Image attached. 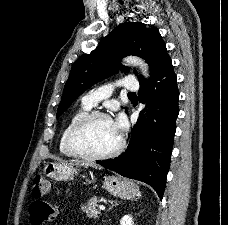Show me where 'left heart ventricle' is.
<instances>
[{
	"instance_id": "1",
	"label": "left heart ventricle",
	"mask_w": 228,
	"mask_h": 225,
	"mask_svg": "<svg viewBox=\"0 0 228 225\" xmlns=\"http://www.w3.org/2000/svg\"><path fill=\"white\" fill-rule=\"evenodd\" d=\"M120 140L111 121L97 119L91 122L80 134L78 143L91 153H105L114 149Z\"/></svg>"
}]
</instances>
